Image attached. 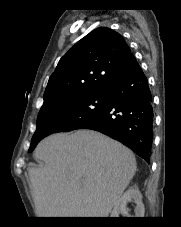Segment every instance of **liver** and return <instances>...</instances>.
Segmentation results:
<instances>
[{
	"mask_svg": "<svg viewBox=\"0 0 181 227\" xmlns=\"http://www.w3.org/2000/svg\"><path fill=\"white\" fill-rule=\"evenodd\" d=\"M34 155L45 163L28 171L39 217H107L137 168L130 149L93 130L51 135Z\"/></svg>",
	"mask_w": 181,
	"mask_h": 227,
	"instance_id": "obj_1",
	"label": "liver"
}]
</instances>
